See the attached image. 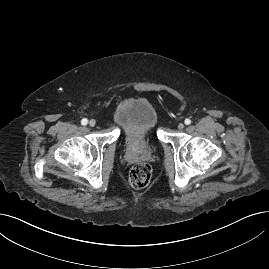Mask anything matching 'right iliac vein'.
I'll list each match as a JSON object with an SVG mask.
<instances>
[{
	"mask_svg": "<svg viewBox=\"0 0 269 269\" xmlns=\"http://www.w3.org/2000/svg\"><path fill=\"white\" fill-rule=\"evenodd\" d=\"M89 125H90L91 127H94V126L96 125V121H95L94 119H91V120L89 121Z\"/></svg>",
	"mask_w": 269,
	"mask_h": 269,
	"instance_id": "obj_1",
	"label": "right iliac vein"
}]
</instances>
